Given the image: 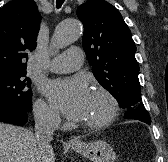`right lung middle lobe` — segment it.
Masks as SVG:
<instances>
[{
  "label": "right lung middle lobe",
  "mask_w": 168,
  "mask_h": 162,
  "mask_svg": "<svg viewBox=\"0 0 168 162\" xmlns=\"http://www.w3.org/2000/svg\"><path fill=\"white\" fill-rule=\"evenodd\" d=\"M31 80L26 72L0 75V107L32 111Z\"/></svg>",
  "instance_id": "obj_1"
}]
</instances>
